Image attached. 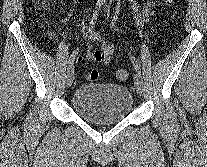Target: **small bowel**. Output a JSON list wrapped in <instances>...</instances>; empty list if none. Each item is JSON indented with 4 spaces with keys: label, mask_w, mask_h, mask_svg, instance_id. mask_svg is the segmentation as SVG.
I'll use <instances>...</instances> for the list:
<instances>
[{
    "label": "small bowel",
    "mask_w": 207,
    "mask_h": 167,
    "mask_svg": "<svg viewBox=\"0 0 207 167\" xmlns=\"http://www.w3.org/2000/svg\"><path fill=\"white\" fill-rule=\"evenodd\" d=\"M129 2L135 14L137 24L144 25L151 15L154 4L158 2V0H144L142 12L139 11L137 0H129ZM87 39L91 43H98L99 48L95 49L92 45H89L85 57L75 55L74 61L80 62L85 58L89 61L100 62L105 66L109 65L114 55V46L111 43L104 42L99 32L93 28L90 31H87Z\"/></svg>",
    "instance_id": "obj_1"
}]
</instances>
